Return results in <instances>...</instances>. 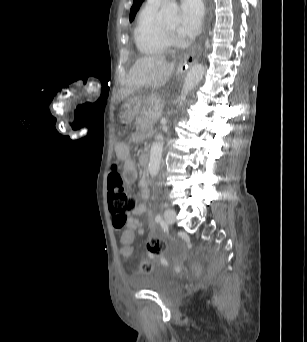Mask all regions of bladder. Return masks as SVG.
<instances>
[{
	"instance_id": "1",
	"label": "bladder",
	"mask_w": 307,
	"mask_h": 342,
	"mask_svg": "<svg viewBox=\"0 0 307 342\" xmlns=\"http://www.w3.org/2000/svg\"><path fill=\"white\" fill-rule=\"evenodd\" d=\"M142 287L160 295H167L175 290L176 282L164 270L156 269L145 277Z\"/></svg>"
}]
</instances>
